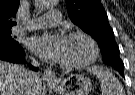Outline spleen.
<instances>
[{
  "label": "spleen",
  "mask_w": 135,
  "mask_h": 95,
  "mask_svg": "<svg viewBox=\"0 0 135 95\" xmlns=\"http://www.w3.org/2000/svg\"><path fill=\"white\" fill-rule=\"evenodd\" d=\"M87 71L99 79L102 95H125L122 84L109 70L101 66H92Z\"/></svg>",
  "instance_id": "1"
}]
</instances>
